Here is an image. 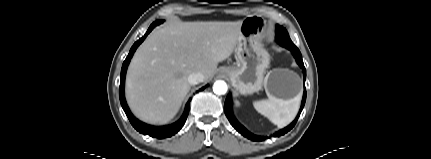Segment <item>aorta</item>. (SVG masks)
<instances>
[{
  "mask_svg": "<svg viewBox=\"0 0 431 159\" xmlns=\"http://www.w3.org/2000/svg\"><path fill=\"white\" fill-rule=\"evenodd\" d=\"M228 90V86L225 81L217 80L213 85L214 93L218 95H224Z\"/></svg>",
  "mask_w": 431,
  "mask_h": 159,
  "instance_id": "1",
  "label": "aorta"
}]
</instances>
